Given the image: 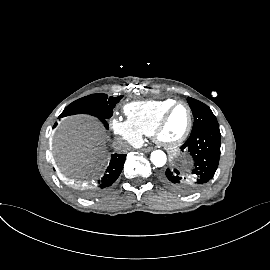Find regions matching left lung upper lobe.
<instances>
[{
    "mask_svg": "<svg viewBox=\"0 0 270 270\" xmlns=\"http://www.w3.org/2000/svg\"><path fill=\"white\" fill-rule=\"evenodd\" d=\"M194 116V124L191 133L207 126H219L211 109L204 103L191 97L187 99Z\"/></svg>",
    "mask_w": 270,
    "mask_h": 270,
    "instance_id": "left-lung-upper-lobe-1",
    "label": "left lung upper lobe"
}]
</instances>
